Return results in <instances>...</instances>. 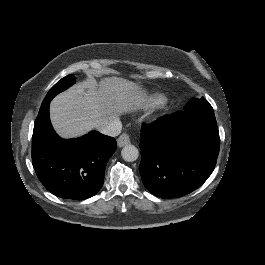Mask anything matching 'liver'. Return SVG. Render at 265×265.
Masks as SVG:
<instances>
[{
    "mask_svg": "<svg viewBox=\"0 0 265 265\" xmlns=\"http://www.w3.org/2000/svg\"><path fill=\"white\" fill-rule=\"evenodd\" d=\"M148 90L121 76L88 75L50 102L49 118L55 133L64 140L88 134L122 116L147 108Z\"/></svg>",
    "mask_w": 265,
    "mask_h": 265,
    "instance_id": "1",
    "label": "liver"
}]
</instances>
